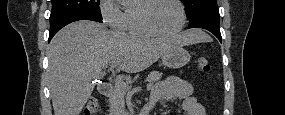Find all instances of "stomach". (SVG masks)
Returning a JSON list of instances; mask_svg holds the SVG:
<instances>
[{"label":"stomach","instance_id":"stomach-1","mask_svg":"<svg viewBox=\"0 0 285 115\" xmlns=\"http://www.w3.org/2000/svg\"><path fill=\"white\" fill-rule=\"evenodd\" d=\"M191 55L181 46L171 48L161 56L162 63L168 68H181L190 61Z\"/></svg>","mask_w":285,"mask_h":115}]
</instances>
